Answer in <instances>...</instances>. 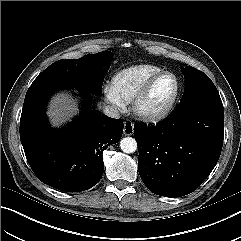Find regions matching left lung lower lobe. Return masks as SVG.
<instances>
[{
	"label": "left lung lower lobe",
	"mask_w": 241,
	"mask_h": 241,
	"mask_svg": "<svg viewBox=\"0 0 241 241\" xmlns=\"http://www.w3.org/2000/svg\"><path fill=\"white\" fill-rule=\"evenodd\" d=\"M138 170L146 187L165 197L196 190L215 167L224 137L222 101L180 104L155 126L136 124Z\"/></svg>",
	"instance_id": "obj_1"
}]
</instances>
